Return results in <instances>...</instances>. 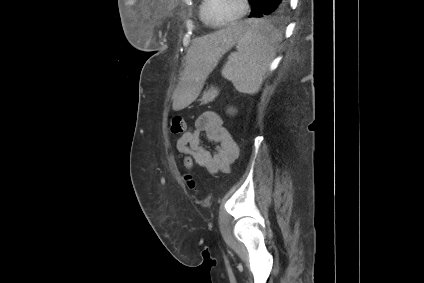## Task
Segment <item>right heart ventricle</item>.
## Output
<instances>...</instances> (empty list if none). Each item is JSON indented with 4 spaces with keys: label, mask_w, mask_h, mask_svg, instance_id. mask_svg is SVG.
Listing matches in <instances>:
<instances>
[{
    "label": "right heart ventricle",
    "mask_w": 424,
    "mask_h": 283,
    "mask_svg": "<svg viewBox=\"0 0 424 283\" xmlns=\"http://www.w3.org/2000/svg\"><path fill=\"white\" fill-rule=\"evenodd\" d=\"M203 6H204V0L201 2L200 6H199V14L201 19H203Z\"/></svg>",
    "instance_id": "obj_1"
}]
</instances>
